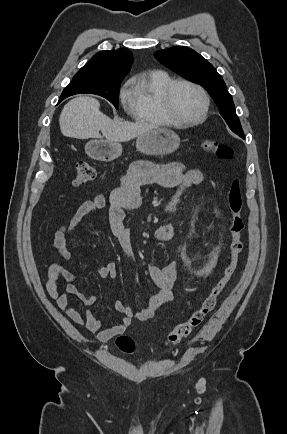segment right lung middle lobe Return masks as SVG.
<instances>
[{"label": "right lung middle lobe", "mask_w": 287, "mask_h": 434, "mask_svg": "<svg viewBox=\"0 0 287 434\" xmlns=\"http://www.w3.org/2000/svg\"><path fill=\"white\" fill-rule=\"evenodd\" d=\"M122 80L123 79L111 80L106 78L75 75L69 85L64 88L59 102L71 95L89 93L106 98L115 106L116 109H118V95Z\"/></svg>", "instance_id": "obj_1"}]
</instances>
